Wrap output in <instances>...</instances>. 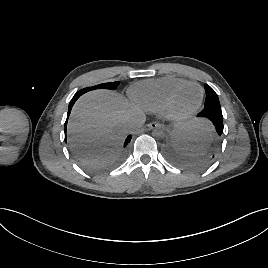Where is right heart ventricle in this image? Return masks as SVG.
I'll return each mask as SVG.
<instances>
[{
    "instance_id": "right-heart-ventricle-1",
    "label": "right heart ventricle",
    "mask_w": 268,
    "mask_h": 268,
    "mask_svg": "<svg viewBox=\"0 0 268 268\" xmlns=\"http://www.w3.org/2000/svg\"><path fill=\"white\" fill-rule=\"evenodd\" d=\"M186 82L176 77L143 80L131 86L129 95L137 107L148 112H160L171 91Z\"/></svg>"
}]
</instances>
